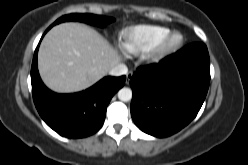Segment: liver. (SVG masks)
Masks as SVG:
<instances>
[{
	"instance_id": "liver-1",
	"label": "liver",
	"mask_w": 248,
	"mask_h": 165,
	"mask_svg": "<svg viewBox=\"0 0 248 165\" xmlns=\"http://www.w3.org/2000/svg\"><path fill=\"white\" fill-rule=\"evenodd\" d=\"M120 61L117 51L98 32L75 22L53 27L38 53L43 82L60 93L85 90Z\"/></svg>"
}]
</instances>
